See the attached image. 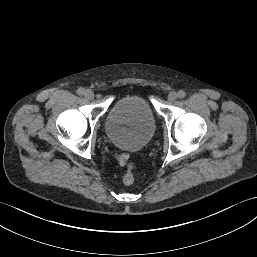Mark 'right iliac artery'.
Instances as JSON below:
<instances>
[{"label": "right iliac artery", "mask_w": 257, "mask_h": 257, "mask_svg": "<svg viewBox=\"0 0 257 257\" xmlns=\"http://www.w3.org/2000/svg\"><path fill=\"white\" fill-rule=\"evenodd\" d=\"M84 93H85V90L83 88H78L77 90L78 95H84Z\"/></svg>", "instance_id": "82829eb1"}]
</instances>
